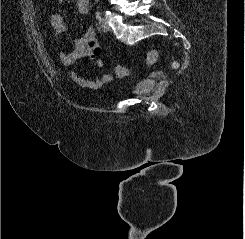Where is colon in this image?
<instances>
[{
    "mask_svg": "<svg viewBox=\"0 0 245 239\" xmlns=\"http://www.w3.org/2000/svg\"><path fill=\"white\" fill-rule=\"evenodd\" d=\"M159 57V53L157 51H150L146 56V62L149 65H153L157 62ZM173 66H176V63L173 64ZM115 72L118 77H125L128 74V70L123 65H117L115 68Z\"/></svg>",
    "mask_w": 245,
    "mask_h": 239,
    "instance_id": "obj_1",
    "label": "colon"
}]
</instances>
